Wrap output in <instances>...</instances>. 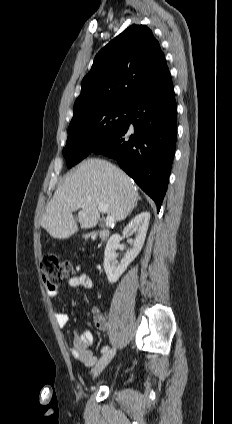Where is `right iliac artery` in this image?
Listing matches in <instances>:
<instances>
[{
    "label": "right iliac artery",
    "instance_id": "right-iliac-artery-1",
    "mask_svg": "<svg viewBox=\"0 0 232 424\" xmlns=\"http://www.w3.org/2000/svg\"><path fill=\"white\" fill-rule=\"evenodd\" d=\"M108 346H104L103 348H102V350H101V353H105V352H107L108 351Z\"/></svg>",
    "mask_w": 232,
    "mask_h": 424
}]
</instances>
